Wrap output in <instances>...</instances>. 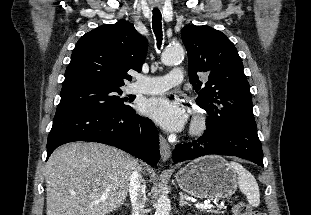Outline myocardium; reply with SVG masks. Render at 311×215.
Wrapping results in <instances>:
<instances>
[{
  "mask_svg": "<svg viewBox=\"0 0 311 215\" xmlns=\"http://www.w3.org/2000/svg\"><path fill=\"white\" fill-rule=\"evenodd\" d=\"M208 127L207 114L200 109H195L192 113L189 134L193 137H199L205 133Z\"/></svg>",
  "mask_w": 311,
  "mask_h": 215,
  "instance_id": "f54148a6",
  "label": "myocardium"
}]
</instances>
